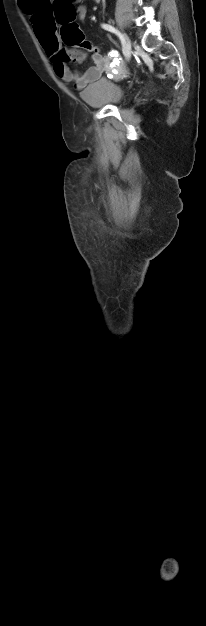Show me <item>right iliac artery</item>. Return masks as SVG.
<instances>
[{
  "label": "right iliac artery",
  "mask_w": 206,
  "mask_h": 626,
  "mask_svg": "<svg viewBox=\"0 0 206 626\" xmlns=\"http://www.w3.org/2000/svg\"><path fill=\"white\" fill-rule=\"evenodd\" d=\"M101 26H102L103 29L108 30V31H110L112 33H115L119 37V39L121 40L122 45H124L123 35L117 29H115L113 26L108 25V24H102Z\"/></svg>",
  "instance_id": "1"
}]
</instances>
